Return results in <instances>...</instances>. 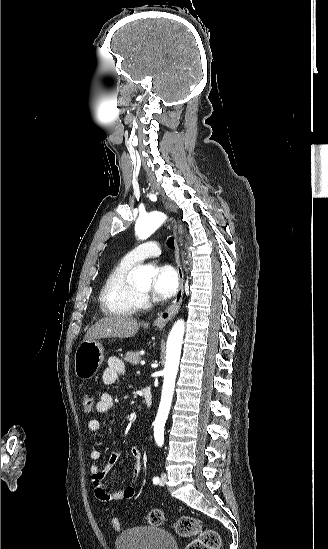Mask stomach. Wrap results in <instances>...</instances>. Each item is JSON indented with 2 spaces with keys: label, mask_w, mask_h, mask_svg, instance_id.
Masks as SVG:
<instances>
[{
  "label": "stomach",
  "mask_w": 328,
  "mask_h": 549,
  "mask_svg": "<svg viewBox=\"0 0 328 549\" xmlns=\"http://www.w3.org/2000/svg\"><path fill=\"white\" fill-rule=\"evenodd\" d=\"M104 361V349L100 341H83L75 353V375L81 381L95 377Z\"/></svg>",
  "instance_id": "stomach-1"
}]
</instances>
